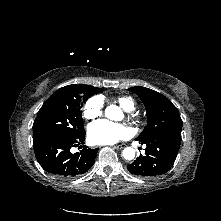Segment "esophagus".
<instances>
[{"label":"esophagus","mask_w":221,"mask_h":221,"mask_svg":"<svg viewBox=\"0 0 221 221\" xmlns=\"http://www.w3.org/2000/svg\"><path fill=\"white\" fill-rule=\"evenodd\" d=\"M124 147H125V144H120V145L113 146V148L117 149V150L123 149Z\"/></svg>","instance_id":"esophagus-1"}]
</instances>
